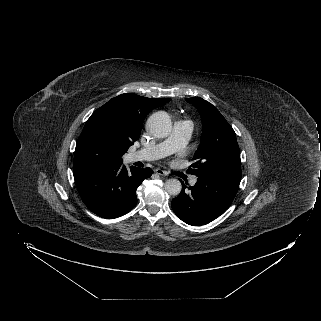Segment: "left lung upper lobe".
<instances>
[{"label": "left lung upper lobe", "instance_id": "obj_1", "mask_svg": "<svg viewBox=\"0 0 321 321\" xmlns=\"http://www.w3.org/2000/svg\"><path fill=\"white\" fill-rule=\"evenodd\" d=\"M186 101L198 109L202 120L201 142L194 154L196 162L188 172L196 176L241 172L240 150L233 128L208 101L200 97L186 98Z\"/></svg>", "mask_w": 321, "mask_h": 321}]
</instances>
